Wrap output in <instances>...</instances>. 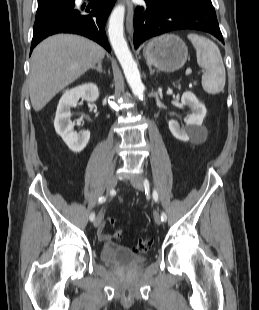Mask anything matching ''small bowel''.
Segmentation results:
<instances>
[{
  "label": "small bowel",
  "instance_id": "1",
  "mask_svg": "<svg viewBox=\"0 0 259 310\" xmlns=\"http://www.w3.org/2000/svg\"><path fill=\"white\" fill-rule=\"evenodd\" d=\"M97 236L100 241L104 242L105 244L112 243V237L105 232V225L100 223L99 228L97 230Z\"/></svg>",
  "mask_w": 259,
  "mask_h": 310
}]
</instances>
